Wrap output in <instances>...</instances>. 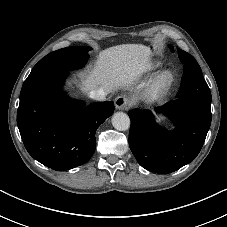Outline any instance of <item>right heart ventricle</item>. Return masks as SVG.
Returning a JSON list of instances; mask_svg holds the SVG:
<instances>
[{
    "mask_svg": "<svg viewBox=\"0 0 227 227\" xmlns=\"http://www.w3.org/2000/svg\"><path fill=\"white\" fill-rule=\"evenodd\" d=\"M160 66L161 63L158 61L148 62L141 68V73L145 75L151 74L156 71Z\"/></svg>",
    "mask_w": 227,
    "mask_h": 227,
    "instance_id": "e07e8e85",
    "label": "right heart ventricle"
}]
</instances>
